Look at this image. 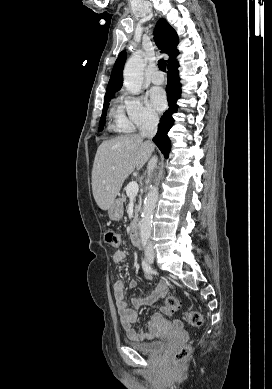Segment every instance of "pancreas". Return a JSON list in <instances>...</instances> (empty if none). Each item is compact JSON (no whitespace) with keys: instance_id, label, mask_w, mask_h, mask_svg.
<instances>
[{"instance_id":"pancreas-1","label":"pancreas","mask_w":272,"mask_h":389,"mask_svg":"<svg viewBox=\"0 0 272 389\" xmlns=\"http://www.w3.org/2000/svg\"><path fill=\"white\" fill-rule=\"evenodd\" d=\"M127 198H129V196H126V195H122V201L123 202H126ZM135 201V199H133ZM138 213H139V206L138 205H135V209H134V219L131 223V227L134 228L135 224H136V221H137V217H138Z\"/></svg>"}]
</instances>
